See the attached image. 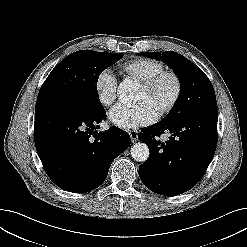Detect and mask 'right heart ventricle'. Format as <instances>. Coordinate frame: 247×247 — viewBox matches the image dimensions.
<instances>
[{
  "label": "right heart ventricle",
  "instance_id": "obj_1",
  "mask_svg": "<svg viewBox=\"0 0 247 247\" xmlns=\"http://www.w3.org/2000/svg\"><path fill=\"white\" fill-rule=\"evenodd\" d=\"M164 70L162 62L149 58H136L123 63L120 72L126 77L142 82Z\"/></svg>",
  "mask_w": 247,
  "mask_h": 247
}]
</instances>
